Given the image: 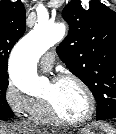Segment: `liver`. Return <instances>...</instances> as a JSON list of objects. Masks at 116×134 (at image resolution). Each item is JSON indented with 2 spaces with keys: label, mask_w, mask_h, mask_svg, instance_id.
Segmentation results:
<instances>
[{
  "label": "liver",
  "mask_w": 116,
  "mask_h": 134,
  "mask_svg": "<svg viewBox=\"0 0 116 134\" xmlns=\"http://www.w3.org/2000/svg\"><path fill=\"white\" fill-rule=\"evenodd\" d=\"M0 134H38L32 129L24 130L21 126L7 125L0 122Z\"/></svg>",
  "instance_id": "6515ba94"
}]
</instances>
